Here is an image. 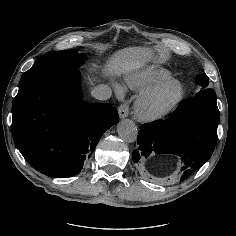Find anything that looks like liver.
Here are the masks:
<instances>
[{"label": "liver", "instance_id": "liver-1", "mask_svg": "<svg viewBox=\"0 0 236 236\" xmlns=\"http://www.w3.org/2000/svg\"><path fill=\"white\" fill-rule=\"evenodd\" d=\"M151 56V50L149 48L142 47H130L114 53L107 61L103 74L121 75L129 71L139 68L148 58Z\"/></svg>", "mask_w": 236, "mask_h": 236}]
</instances>
